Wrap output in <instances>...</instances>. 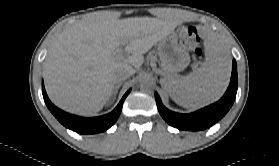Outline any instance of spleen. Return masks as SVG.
I'll list each match as a JSON object with an SVG mask.
<instances>
[{
  "label": "spleen",
  "instance_id": "spleen-1",
  "mask_svg": "<svg viewBox=\"0 0 279 166\" xmlns=\"http://www.w3.org/2000/svg\"><path fill=\"white\" fill-rule=\"evenodd\" d=\"M205 62L195 71L181 79L164 78L162 87L179 105L196 108L209 104L226 90L231 60L222 42L209 30L203 29Z\"/></svg>",
  "mask_w": 279,
  "mask_h": 166
}]
</instances>
